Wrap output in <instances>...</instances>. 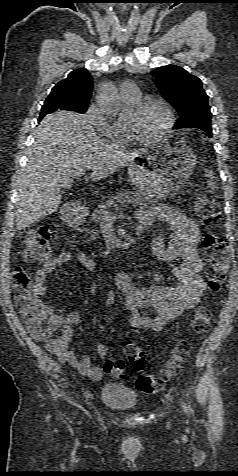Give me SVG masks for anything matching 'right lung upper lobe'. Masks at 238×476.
<instances>
[{
    "mask_svg": "<svg viewBox=\"0 0 238 476\" xmlns=\"http://www.w3.org/2000/svg\"><path fill=\"white\" fill-rule=\"evenodd\" d=\"M93 89L90 73L83 68L72 71L65 80L58 82L49 96L59 94L76 105L89 104Z\"/></svg>",
    "mask_w": 238,
    "mask_h": 476,
    "instance_id": "1",
    "label": "right lung upper lobe"
}]
</instances>
